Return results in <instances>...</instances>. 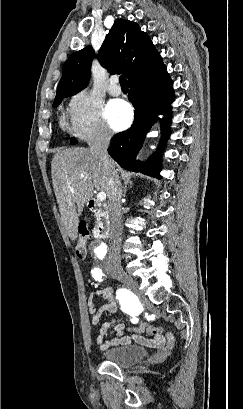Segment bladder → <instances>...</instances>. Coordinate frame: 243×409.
Wrapping results in <instances>:
<instances>
[{"mask_svg": "<svg viewBox=\"0 0 243 409\" xmlns=\"http://www.w3.org/2000/svg\"><path fill=\"white\" fill-rule=\"evenodd\" d=\"M147 355V351L138 345H123L107 349L103 352L105 361L121 368L132 366Z\"/></svg>", "mask_w": 243, "mask_h": 409, "instance_id": "obj_1", "label": "bladder"}]
</instances>
